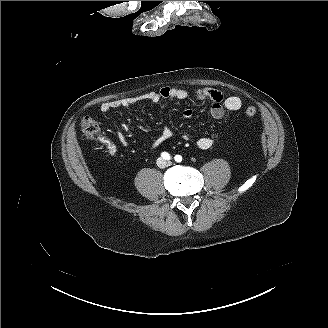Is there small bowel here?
Here are the masks:
<instances>
[{"instance_id":"obj_1","label":"small bowel","mask_w":328,"mask_h":328,"mask_svg":"<svg viewBox=\"0 0 328 328\" xmlns=\"http://www.w3.org/2000/svg\"><path fill=\"white\" fill-rule=\"evenodd\" d=\"M161 99H175L187 100L196 99L201 101H210L212 105L209 113L214 119H222L226 112L237 111L242 107V100L237 96L225 97L224 94L218 90L211 88H198L194 90H187L179 87L164 86L156 91H149L138 96L124 97L111 101L103 102L100 105V111L106 113L113 109L128 108L136 103L142 101L158 102ZM193 115V110L187 108L182 112L184 119H189ZM172 130L168 127H163L160 134L156 137L150 145V149H156L165 141L172 137ZM119 142L123 145L128 144V140L123 132L117 133ZM181 138L184 141H189L191 136L188 132H183ZM100 142L104 145L111 156L117 153L115 143L107 137L102 136ZM197 146L202 150H207L213 145V140L209 136H201L196 141Z\"/></svg>"}]
</instances>
